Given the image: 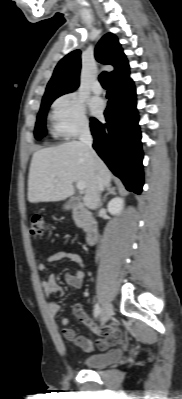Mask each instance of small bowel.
<instances>
[{"mask_svg": "<svg viewBox=\"0 0 182 399\" xmlns=\"http://www.w3.org/2000/svg\"><path fill=\"white\" fill-rule=\"evenodd\" d=\"M62 260H69L76 265V273L74 275H68L66 279L73 287L80 288L85 278L86 268L81 256L77 253L64 250L57 251L48 255L44 263H39L37 269L40 272H44L47 264H53ZM41 286L47 299H51L54 294H57L58 299L63 296V288L57 283V278L54 274H50L47 279L42 281ZM48 312L53 318L60 314L61 306L58 300L51 301L48 304ZM73 313L80 321L88 326L91 332L99 337L96 343L93 344L88 337L76 335V332L68 326V318L62 317L60 319L63 337L72 344L80 347L85 352H93L95 349L101 351L106 350L120 341L122 328L118 324L110 323L105 326L96 325L86 315L81 305H76L73 309Z\"/></svg>", "mask_w": 182, "mask_h": 399, "instance_id": "c3829d8e", "label": "small bowel"}]
</instances>
